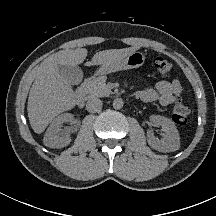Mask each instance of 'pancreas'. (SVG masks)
<instances>
[{"mask_svg": "<svg viewBox=\"0 0 216 216\" xmlns=\"http://www.w3.org/2000/svg\"><path fill=\"white\" fill-rule=\"evenodd\" d=\"M86 88L91 97H104L111 94V90L106 84V77L99 76L86 83Z\"/></svg>", "mask_w": 216, "mask_h": 216, "instance_id": "pancreas-1", "label": "pancreas"}]
</instances>
